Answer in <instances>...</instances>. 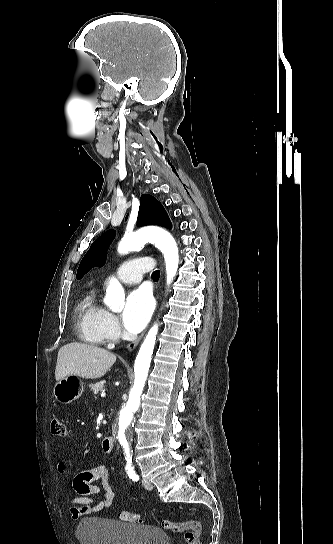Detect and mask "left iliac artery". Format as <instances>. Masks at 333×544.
<instances>
[{
  "mask_svg": "<svg viewBox=\"0 0 333 544\" xmlns=\"http://www.w3.org/2000/svg\"><path fill=\"white\" fill-rule=\"evenodd\" d=\"M125 470L127 472L128 477L133 481H138L139 476L136 474L134 467L132 466L131 462H128L126 464Z\"/></svg>",
  "mask_w": 333,
  "mask_h": 544,
  "instance_id": "1",
  "label": "left iliac artery"
}]
</instances>
